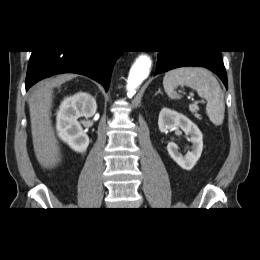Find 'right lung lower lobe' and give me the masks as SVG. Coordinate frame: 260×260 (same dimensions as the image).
Segmentation results:
<instances>
[{"label":"right lung lower lobe","instance_id":"98d812e1","mask_svg":"<svg viewBox=\"0 0 260 260\" xmlns=\"http://www.w3.org/2000/svg\"><path fill=\"white\" fill-rule=\"evenodd\" d=\"M122 51H32L27 76L26 91L43 78L58 73H78L101 83L106 91L116 59Z\"/></svg>","mask_w":260,"mask_h":260}]
</instances>
